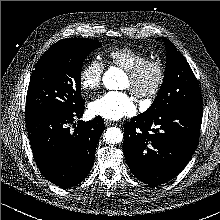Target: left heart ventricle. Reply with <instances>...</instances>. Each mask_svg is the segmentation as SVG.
<instances>
[{
    "instance_id": "b2bd125f",
    "label": "left heart ventricle",
    "mask_w": 220,
    "mask_h": 220,
    "mask_svg": "<svg viewBox=\"0 0 220 220\" xmlns=\"http://www.w3.org/2000/svg\"><path fill=\"white\" fill-rule=\"evenodd\" d=\"M154 79H155V71L153 69H150L143 77L142 84L145 86H149L153 83ZM123 87L131 89L132 82L128 77L125 78Z\"/></svg>"
}]
</instances>
